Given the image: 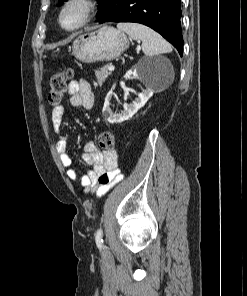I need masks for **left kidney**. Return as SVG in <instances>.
<instances>
[{"label": "left kidney", "mask_w": 247, "mask_h": 296, "mask_svg": "<svg viewBox=\"0 0 247 296\" xmlns=\"http://www.w3.org/2000/svg\"><path fill=\"white\" fill-rule=\"evenodd\" d=\"M170 63L163 59H141L137 65L129 70L124 78L130 79L132 77L138 78L142 83L146 85V89L138 94V97L130 104H125L124 110L120 113H113L110 108V101L113 95V91L111 90L104 102L103 106V116L109 123H121L130 119L140 108H142L149 98L153 95V85L155 79L158 77V74L163 68H168ZM115 85L113 86V88Z\"/></svg>", "instance_id": "left-kidney-1"}]
</instances>
